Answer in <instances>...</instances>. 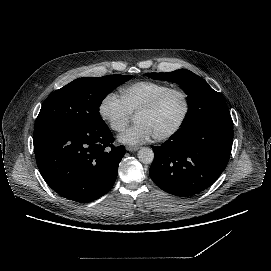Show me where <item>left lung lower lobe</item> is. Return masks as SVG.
<instances>
[{
  "label": "left lung lower lobe",
  "mask_w": 271,
  "mask_h": 271,
  "mask_svg": "<svg viewBox=\"0 0 271 271\" xmlns=\"http://www.w3.org/2000/svg\"><path fill=\"white\" fill-rule=\"evenodd\" d=\"M233 142V124L206 121L178 130L153 147L149 175L167 193L188 197L211 186L224 171Z\"/></svg>",
  "instance_id": "1"
}]
</instances>
